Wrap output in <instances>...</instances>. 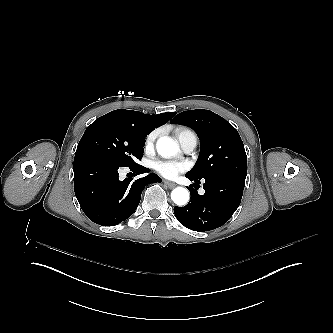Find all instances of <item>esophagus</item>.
Wrapping results in <instances>:
<instances>
[{"instance_id":"obj_1","label":"esophagus","mask_w":333,"mask_h":333,"mask_svg":"<svg viewBox=\"0 0 333 333\" xmlns=\"http://www.w3.org/2000/svg\"><path fill=\"white\" fill-rule=\"evenodd\" d=\"M164 183L169 187V189H173L176 187V183L174 182L165 180Z\"/></svg>"}]
</instances>
